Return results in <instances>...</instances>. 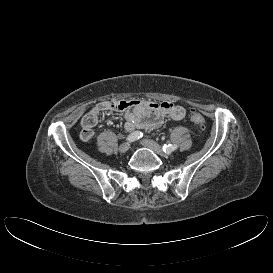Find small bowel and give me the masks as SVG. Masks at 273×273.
<instances>
[{
  "mask_svg": "<svg viewBox=\"0 0 273 273\" xmlns=\"http://www.w3.org/2000/svg\"><path fill=\"white\" fill-rule=\"evenodd\" d=\"M105 111L124 112L127 132L135 129L153 130L164 123L166 119L182 120L186 116L184 107L164 101L161 103L143 100H109L100 102L88 111L81 120L80 137L83 141L94 138V127L100 115Z\"/></svg>",
  "mask_w": 273,
  "mask_h": 273,
  "instance_id": "1",
  "label": "small bowel"
}]
</instances>
